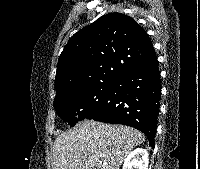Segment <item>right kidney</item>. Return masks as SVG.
Masks as SVG:
<instances>
[{
    "label": "right kidney",
    "mask_w": 200,
    "mask_h": 169,
    "mask_svg": "<svg viewBox=\"0 0 200 169\" xmlns=\"http://www.w3.org/2000/svg\"><path fill=\"white\" fill-rule=\"evenodd\" d=\"M148 163L147 150L137 148L125 158L122 169H148Z\"/></svg>",
    "instance_id": "ca27d5eb"
}]
</instances>
